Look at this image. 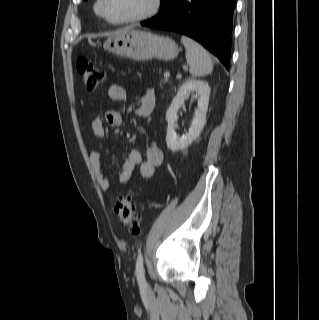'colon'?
I'll list each match as a JSON object with an SVG mask.
<instances>
[{
	"instance_id": "1",
	"label": "colon",
	"mask_w": 319,
	"mask_h": 320,
	"mask_svg": "<svg viewBox=\"0 0 319 320\" xmlns=\"http://www.w3.org/2000/svg\"><path fill=\"white\" fill-rule=\"evenodd\" d=\"M77 68L88 89H96L104 83V73L84 58L77 61ZM115 213L121 225L132 234L140 230L141 218L130 195H120L115 200Z\"/></svg>"
}]
</instances>
